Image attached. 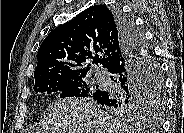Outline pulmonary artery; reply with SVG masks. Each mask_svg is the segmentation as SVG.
<instances>
[{"label": "pulmonary artery", "mask_w": 184, "mask_h": 133, "mask_svg": "<svg viewBox=\"0 0 184 133\" xmlns=\"http://www.w3.org/2000/svg\"><path fill=\"white\" fill-rule=\"evenodd\" d=\"M95 78L98 80H103L104 79V75L102 73H96L95 74Z\"/></svg>", "instance_id": "obj_1"}]
</instances>
